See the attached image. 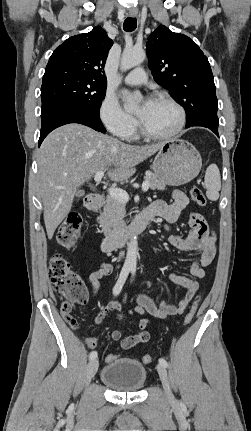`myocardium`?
<instances>
[{
    "label": "myocardium",
    "mask_w": 251,
    "mask_h": 431,
    "mask_svg": "<svg viewBox=\"0 0 251 431\" xmlns=\"http://www.w3.org/2000/svg\"><path fill=\"white\" fill-rule=\"evenodd\" d=\"M154 101H164L167 102L169 104H171L178 112V122L176 124V126L169 132L164 133V134H157V133H153L150 132L149 130H147L145 128V126L143 125V123L141 122V120L138 118L137 120V124H138V129L139 132L142 136L148 138V139H152V140H168L171 139L175 136H177L183 129L185 123H186V112L184 107L177 101L175 100L173 97H171L170 95L167 94H157L154 97Z\"/></svg>",
    "instance_id": "f54148a6"
}]
</instances>
